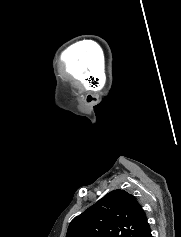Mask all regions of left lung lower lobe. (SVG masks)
I'll return each mask as SVG.
<instances>
[{"label":"left lung lower lobe","mask_w":181,"mask_h":237,"mask_svg":"<svg viewBox=\"0 0 181 237\" xmlns=\"http://www.w3.org/2000/svg\"><path fill=\"white\" fill-rule=\"evenodd\" d=\"M139 237H152L150 227L148 226Z\"/></svg>","instance_id":"left-lung-lower-lobe-1"}]
</instances>
